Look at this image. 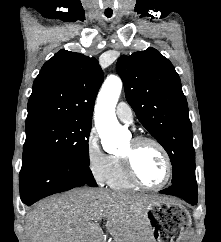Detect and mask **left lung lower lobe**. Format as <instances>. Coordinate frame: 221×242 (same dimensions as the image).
Here are the masks:
<instances>
[{"label":"left lung lower lobe","instance_id":"left-lung-lower-lobe-1","mask_svg":"<svg viewBox=\"0 0 221 242\" xmlns=\"http://www.w3.org/2000/svg\"><path fill=\"white\" fill-rule=\"evenodd\" d=\"M160 193L181 197L191 205L197 204L198 191L195 173L189 174L179 181L172 183L169 188L161 190Z\"/></svg>","mask_w":221,"mask_h":242}]
</instances>
